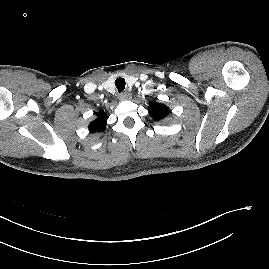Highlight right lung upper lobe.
<instances>
[{"mask_svg":"<svg viewBox=\"0 0 269 269\" xmlns=\"http://www.w3.org/2000/svg\"><path fill=\"white\" fill-rule=\"evenodd\" d=\"M107 124V117L104 111L97 113V118L89 125L91 132H101L105 130Z\"/></svg>","mask_w":269,"mask_h":269,"instance_id":"cb5924a9","label":"right lung upper lobe"}]
</instances>
